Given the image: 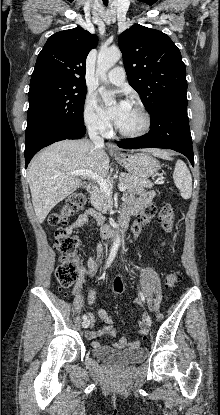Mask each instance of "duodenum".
<instances>
[{
	"instance_id": "410a0bca",
	"label": "duodenum",
	"mask_w": 220,
	"mask_h": 415,
	"mask_svg": "<svg viewBox=\"0 0 220 415\" xmlns=\"http://www.w3.org/2000/svg\"><path fill=\"white\" fill-rule=\"evenodd\" d=\"M87 191L89 193H94L96 191V186L94 184H90L87 187ZM130 213L125 212L121 213L119 224L115 226H108L107 224L102 223L101 224V234L104 239L113 238L116 236L123 235L128 227L129 219H130Z\"/></svg>"
}]
</instances>
